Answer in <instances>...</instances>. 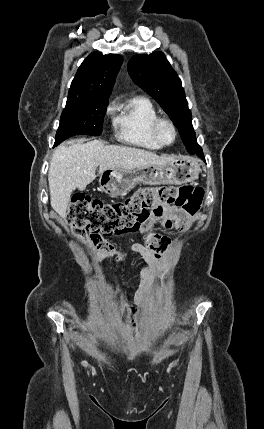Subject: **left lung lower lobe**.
<instances>
[{"label": "left lung lower lobe", "mask_w": 264, "mask_h": 429, "mask_svg": "<svg viewBox=\"0 0 264 429\" xmlns=\"http://www.w3.org/2000/svg\"><path fill=\"white\" fill-rule=\"evenodd\" d=\"M194 153H196L198 156L203 157L202 149L196 150ZM193 154V153H192Z\"/></svg>", "instance_id": "0a47b994"}]
</instances>
